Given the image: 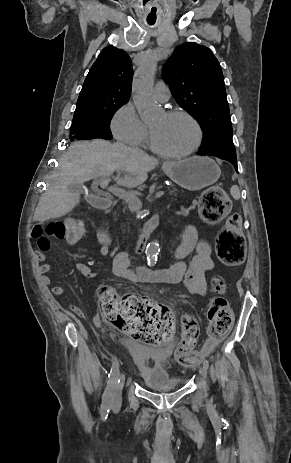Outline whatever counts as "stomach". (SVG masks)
I'll return each instance as SVG.
<instances>
[{
  "instance_id": "stomach-1",
  "label": "stomach",
  "mask_w": 291,
  "mask_h": 463,
  "mask_svg": "<svg viewBox=\"0 0 291 463\" xmlns=\"http://www.w3.org/2000/svg\"><path fill=\"white\" fill-rule=\"evenodd\" d=\"M163 171L179 186L191 191L214 184L221 175L214 160L200 156L167 162L163 165Z\"/></svg>"
}]
</instances>
